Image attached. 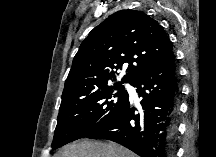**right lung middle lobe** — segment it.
<instances>
[{"instance_id": "dd1d6c3e", "label": "right lung middle lobe", "mask_w": 216, "mask_h": 157, "mask_svg": "<svg viewBox=\"0 0 216 157\" xmlns=\"http://www.w3.org/2000/svg\"><path fill=\"white\" fill-rule=\"evenodd\" d=\"M123 85L83 92L61 102L52 149L96 132L122 109L128 101Z\"/></svg>"}]
</instances>
